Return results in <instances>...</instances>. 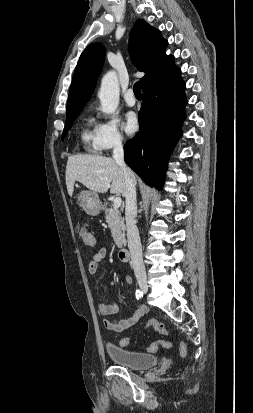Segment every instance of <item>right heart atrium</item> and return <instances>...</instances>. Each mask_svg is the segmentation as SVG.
<instances>
[{
    "label": "right heart atrium",
    "mask_w": 253,
    "mask_h": 413,
    "mask_svg": "<svg viewBox=\"0 0 253 413\" xmlns=\"http://www.w3.org/2000/svg\"><path fill=\"white\" fill-rule=\"evenodd\" d=\"M95 143L99 151H110L123 146L125 138L114 118H104L94 126Z\"/></svg>",
    "instance_id": "d8ad5b80"
}]
</instances>
